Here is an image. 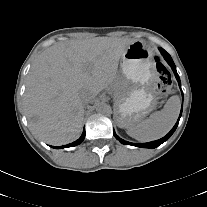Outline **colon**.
I'll list each match as a JSON object with an SVG mask.
<instances>
[{
	"instance_id": "obj_1",
	"label": "colon",
	"mask_w": 207,
	"mask_h": 207,
	"mask_svg": "<svg viewBox=\"0 0 207 207\" xmlns=\"http://www.w3.org/2000/svg\"><path fill=\"white\" fill-rule=\"evenodd\" d=\"M157 69V80L155 83V91L159 96H165L171 89V75L166 67L158 58L155 59Z\"/></svg>"
}]
</instances>
